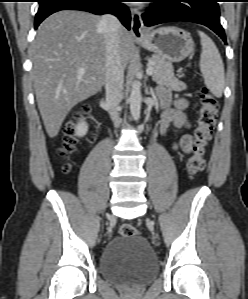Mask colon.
<instances>
[{
	"label": "colon",
	"instance_id": "1",
	"mask_svg": "<svg viewBox=\"0 0 248 299\" xmlns=\"http://www.w3.org/2000/svg\"><path fill=\"white\" fill-rule=\"evenodd\" d=\"M89 105L82 106L76 117L87 114ZM218 113V102L215 96L206 88H202L199 93V112L196 127L194 129L193 147L188 157L186 168L191 177L201 173L205 167V153L207 145L211 139L212 131ZM66 137L59 148L62 158L68 159L75 150L76 139L74 136L76 125L69 123L66 126ZM64 172H69L70 164L63 165ZM122 236L129 237L137 235L136 228L131 224H122L119 228Z\"/></svg>",
	"mask_w": 248,
	"mask_h": 299
}]
</instances>
